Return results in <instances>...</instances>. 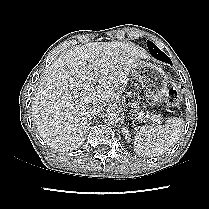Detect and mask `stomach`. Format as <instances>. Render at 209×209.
<instances>
[{"mask_svg":"<svg viewBox=\"0 0 209 209\" xmlns=\"http://www.w3.org/2000/svg\"><path fill=\"white\" fill-rule=\"evenodd\" d=\"M131 73L141 83L150 105L156 106L163 102L168 93L169 78L161 67L139 60Z\"/></svg>","mask_w":209,"mask_h":209,"instance_id":"obj_1","label":"stomach"}]
</instances>
